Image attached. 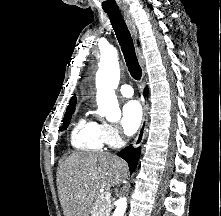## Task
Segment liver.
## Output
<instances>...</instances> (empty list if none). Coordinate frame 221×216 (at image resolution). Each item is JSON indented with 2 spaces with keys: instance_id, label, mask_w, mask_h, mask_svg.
<instances>
[{
  "instance_id": "liver-1",
  "label": "liver",
  "mask_w": 221,
  "mask_h": 216,
  "mask_svg": "<svg viewBox=\"0 0 221 216\" xmlns=\"http://www.w3.org/2000/svg\"><path fill=\"white\" fill-rule=\"evenodd\" d=\"M128 165L109 153L76 152L58 169V196L64 216H89L100 188L124 182Z\"/></svg>"
}]
</instances>
